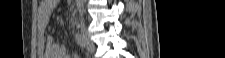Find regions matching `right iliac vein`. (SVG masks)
I'll return each mask as SVG.
<instances>
[{
	"instance_id": "right-iliac-vein-1",
	"label": "right iliac vein",
	"mask_w": 225,
	"mask_h": 58,
	"mask_svg": "<svg viewBox=\"0 0 225 58\" xmlns=\"http://www.w3.org/2000/svg\"><path fill=\"white\" fill-rule=\"evenodd\" d=\"M81 36L84 40L85 48L87 50L93 52L95 50V46H94L93 42L91 41V39L89 38L88 33H87L84 25H81Z\"/></svg>"
}]
</instances>
